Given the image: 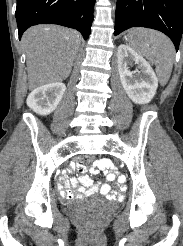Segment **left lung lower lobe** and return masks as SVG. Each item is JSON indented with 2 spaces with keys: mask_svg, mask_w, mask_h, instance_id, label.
Returning a JSON list of instances; mask_svg holds the SVG:
<instances>
[{
  "mask_svg": "<svg viewBox=\"0 0 183 246\" xmlns=\"http://www.w3.org/2000/svg\"><path fill=\"white\" fill-rule=\"evenodd\" d=\"M131 27L163 32L177 51L183 32V0H117L114 35Z\"/></svg>",
  "mask_w": 183,
  "mask_h": 246,
  "instance_id": "1",
  "label": "left lung lower lobe"
}]
</instances>
